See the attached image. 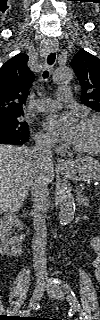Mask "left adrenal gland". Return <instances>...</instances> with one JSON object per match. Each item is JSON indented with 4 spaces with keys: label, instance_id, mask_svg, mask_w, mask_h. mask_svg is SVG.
<instances>
[{
    "label": "left adrenal gland",
    "instance_id": "1",
    "mask_svg": "<svg viewBox=\"0 0 100 320\" xmlns=\"http://www.w3.org/2000/svg\"><path fill=\"white\" fill-rule=\"evenodd\" d=\"M77 199L79 203L85 207H88L89 205V198L83 193L82 190H78L77 192Z\"/></svg>",
    "mask_w": 100,
    "mask_h": 320
}]
</instances>
